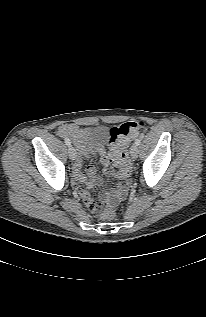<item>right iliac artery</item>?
I'll return each instance as SVG.
<instances>
[{
    "label": "right iliac artery",
    "mask_w": 206,
    "mask_h": 317,
    "mask_svg": "<svg viewBox=\"0 0 206 317\" xmlns=\"http://www.w3.org/2000/svg\"><path fill=\"white\" fill-rule=\"evenodd\" d=\"M64 140L66 145L71 146V141L68 138H65Z\"/></svg>",
    "instance_id": "82829eb1"
}]
</instances>
